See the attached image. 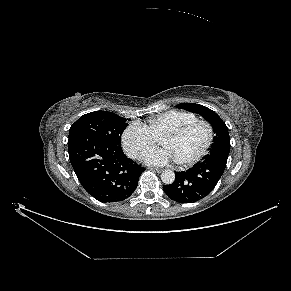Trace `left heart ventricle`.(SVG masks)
I'll use <instances>...</instances> for the list:
<instances>
[{"instance_id": "1", "label": "left heart ventricle", "mask_w": 291, "mask_h": 291, "mask_svg": "<svg viewBox=\"0 0 291 291\" xmlns=\"http://www.w3.org/2000/svg\"><path fill=\"white\" fill-rule=\"evenodd\" d=\"M206 139L207 130L205 126L197 125L181 137L163 140L162 145L174 153L177 161H184L198 154Z\"/></svg>"}]
</instances>
